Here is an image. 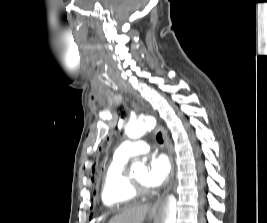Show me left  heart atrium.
Masks as SVG:
<instances>
[{
    "label": "left heart atrium",
    "mask_w": 267,
    "mask_h": 223,
    "mask_svg": "<svg viewBox=\"0 0 267 223\" xmlns=\"http://www.w3.org/2000/svg\"><path fill=\"white\" fill-rule=\"evenodd\" d=\"M171 172V161L164 155L153 156L149 162L146 174V184L150 188L162 186L168 179Z\"/></svg>",
    "instance_id": "39dd6f15"
}]
</instances>
